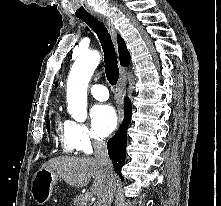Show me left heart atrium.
<instances>
[{"label":"left heart atrium","instance_id":"left-heart-atrium-1","mask_svg":"<svg viewBox=\"0 0 221 206\" xmlns=\"http://www.w3.org/2000/svg\"><path fill=\"white\" fill-rule=\"evenodd\" d=\"M94 129L101 136H108L117 126L118 118L111 105H96L91 111Z\"/></svg>","mask_w":221,"mask_h":206}]
</instances>
